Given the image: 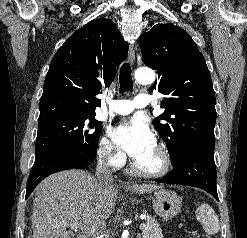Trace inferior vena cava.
<instances>
[{"label": "inferior vena cava", "instance_id": "inferior-vena-cava-1", "mask_svg": "<svg viewBox=\"0 0 247 238\" xmlns=\"http://www.w3.org/2000/svg\"><path fill=\"white\" fill-rule=\"evenodd\" d=\"M97 179L101 182H109L113 180L112 171L107 165V156H102L96 167Z\"/></svg>", "mask_w": 247, "mask_h": 238}]
</instances>
